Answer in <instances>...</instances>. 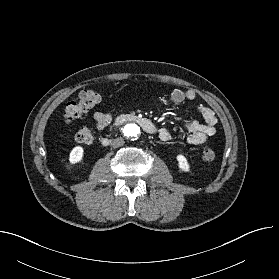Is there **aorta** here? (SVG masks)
Here are the masks:
<instances>
[{
	"label": "aorta",
	"mask_w": 279,
	"mask_h": 279,
	"mask_svg": "<svg viewBox=\"0 0 279 279\" xmlns=\"http://www.w3.org/2000/svg\"><path fill=\"white\" fill-rule=\"evenodd\" d=\"M123 134L125 137H127L129 139L137 138L140 134V128L135 123L126 124L123 127Z\"/></svg>",
	"instance_id": "1"
}]
</instances>
